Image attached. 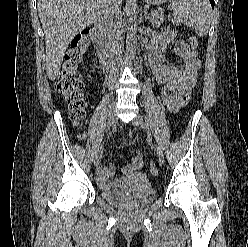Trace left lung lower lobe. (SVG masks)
Instances as JSON below:
<instances>
[{"label": "left lung lower lobe", "mask_w": 248, "mask_h": 247, "mask_svg": "<svg viewBox=\"0 0 248 247\" xmlns=\"http://www.w3.org/2000/svg\"><path fill=\"white\" fill-rule=\"evenodd\" d=\"M212 7L214 8V0H210Z\"/></svg>", "instance_id": "left-lung-lower-lobe-1"}]
</instances>
